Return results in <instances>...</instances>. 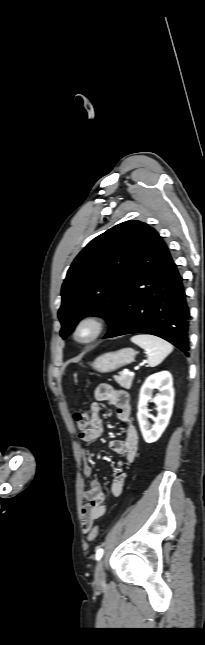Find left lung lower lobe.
Listing matches in <instances>:
<instances>
[{"mask_svg":"<svg viewBox=\"0 0 205 645\" xmlns=\"http://www.w3.org/2000/svg\"><path fill=\"white\" fill-rule=\"evenodd\" d=\"M189 308L182 278L167 245L149 227L128 275L117 329L108 337L147 333L175 345L187 356Z\"/></svg>","mask_w":205,"mask_h":645,"instance_id":"1","label":"left lung lower lobe"}]
</instances>
